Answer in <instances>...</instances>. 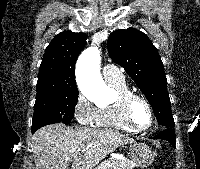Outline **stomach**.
<instances>
[{
	"label": "stomach",
	"mask_w": 200,
	"mask_h": 169,
	"mask_svg": "<svg viewBox=\"0 0 200 169\" xmlns=\"http://www.w3.org/2000/svg\"><path fill=\"white\" fill-rule=\"evenodd\" d=\"M129 150L131 161L139 167H148L155 158L151 148L143 143H134L129 147Z\"/></svg>",
	"instance_id": "obj_1"
}]
</instances>
